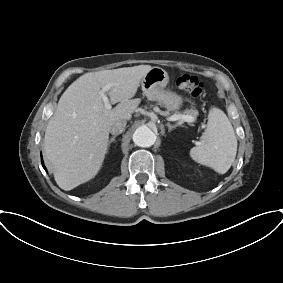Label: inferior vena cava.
Returning <instances> with one entry per match:
<instances>
[{
    "label": "inferior vena cava",
    "mask_w": 283,
    "mask_h": 283,
    "mask_svg": "<svg viewBox=\"0 0 283 283\" xmlns=\"http://www.w3.org/2000/svg\"><path fill=\"white\" fill-rule=\"evenodd\" d=\"M127 121L126 120H118L114 122L110 128V133L113 135H118L122 133L126 127Z\"/></svg>",
    "instance_id": "1"
}]
</instances>
